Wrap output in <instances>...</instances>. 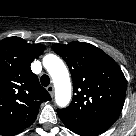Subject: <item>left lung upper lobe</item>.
<instances>
[{"instance_id": "left-lung-upper-lobe-1", "label": "left lung upper lobe", "mask_w": 136, "mask_h": 136, "mask_svg": "<svg viewBox=\"0 0 136 136\" xmlns=\"http://www.w3.org/2000/svg\"><path fill=\"white\" fill-rule=\"evenodd\" d=\"M52 48L67 63L73 80L71 104L57 110L63 123L112 125L121 113L126 95V80L118 64L89 43H55Z\"/></svg>"}]
</instances>
